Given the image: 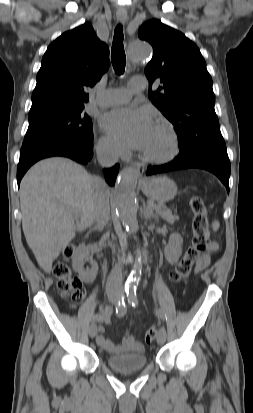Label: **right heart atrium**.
<instances>
[{"label":"right heart atrium","instance_id":"right-heart-atrium-1","mask_svg":"<svg viewBox=\"0 0 253 413\" xmlns=\"http://www.w3.org/2000/svg\"><path fill=\"white\" fill-rule=\"evenodd\" d=\"M97 152L104 159H114L124 153L120 143L108 135H102L97 142Z\"/></svg>","mask_w":253,"mask_h":413}]
</instances>
